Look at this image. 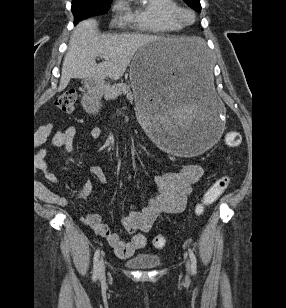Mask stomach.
<instances>
[{"label": "stomach", "mask_w": 286, "mask_h": 308, "mask_svg": "<svg viewBox=\"0 0 286 308\" xmlns=\"http://www.w3.org/2000/svg\"><path fill=\"white\" fill-rule=\"evenodd\" d=\"M214 57L203 40L193 36H159L141 44L129 78L140 107L141 125L155 132L151 144H163L170 159H191L212 144H223L222 100L213 91ZM86 104L102 107L104 85L87 79Z\"/></svg>", "instance_id": "1"}]
</instances>
